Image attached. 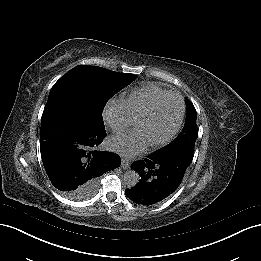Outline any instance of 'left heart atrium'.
I'll list each match as a JSON object with an SVG mask.
<instances>
[{
  "mask_svg": "<svg viewBox=\"0 0 261 261\" xmlns=\"http://www.w3.org/2000/svg\"><path fill=\"white\" fill-rule=\"evenodd\" d=\"M112 147L127 158H137L145 151V144L136 133H122L114 137Z\"/></svg>",
  "mask_w": 261,
  "mask_h": 261,
  "instance_id": "1",
  "label": "left heart atrium"
}]
</instances>
